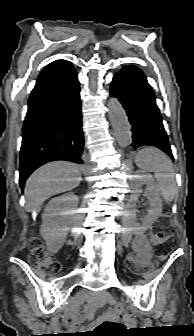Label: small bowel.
Masks as SVG:
<instances>
[{
    "mask_svg": "<svg viewBox=\"0 0 194 336\" xmlns=\"http://www.w3.org/2000/svg\"><path fill=\"white\" fill-rule=\"evenodd\" d=\"M135 246L139 252V260H138L139 263L142 265H145L150 257L149 247L146 241V237L142 234L138 235L135 241ZM98 300H100V302L103 303V302L110 301L111 298L108 294H104L98 297ZM67 321L75 327H80L83 319L79 315L72 314L68 316Z\"/></svg>",
    "mask_w": 194,
    "mask_h": 336,
    "instance_id": "1",
    "label": "small bowel"
}]
</instances>
